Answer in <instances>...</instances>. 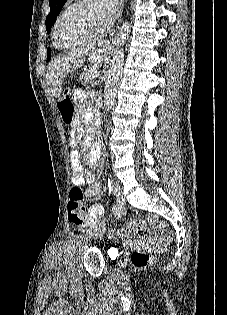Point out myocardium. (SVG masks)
Instances as JSON below:
<instances>
[{
  "label": "myocardium",
  "mask_w": 227,
  "mask_h": 315,
  "mask_svg": "<svg viewBox=\"0 0 227 315\" xmlns=\"http://www.w3.org/2000/svg\"><path fill=\"white\" fill-rule=\"evenodd\" d=\"M90 0H74V2L72 4H70L67 8H65L62 13L59 15V17L57 18L55 25H54V29H53V44L57 49L60 50H69V49H73V48H77L80 47L86 43H89L91 41H96L99 38H101L103 36V34L106 32L107 28L109 26H105L100 32H98L97 34L88 37L86 40L79 42V43H75V44H71V45H62L60 44L59 40H58V32H59V27L61 22L63 21V19L71 12L73 11L75 8H77L78 6H81L87 2H89Z\"/></svg>",
  "instance_id": "1"
}]
</instances>
